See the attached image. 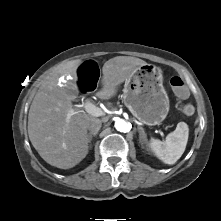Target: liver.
I'll use <instances>...</instances> for the list:
<instances>
[{
	"label": "liver",
	"instance_id": "1",
	"mask_svg": "<svg viewBox=\"0 0 221 221\" xmlns=\"http://www.w3.org/2000/svg\"><path fill=\"white\" fill-rule=\"evenodd\" d=\"M80 60L70 61L60 73L69 74L73 80L58 85V77H48L36 93L28 114L29 139L41 158L60 169H69L80 163L88 154L87 123L96 119L87 113L68 117L72 101L77 98V68ZM147 63L139 58L117 56L102 67V95L116 94L120 84Z\"/></svg>",
	"mask_w": 221,
	"mask_h": 221
}]
</instances>
